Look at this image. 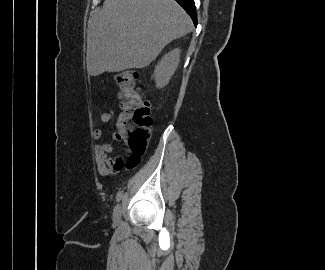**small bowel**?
I'll use <instances>...</instances> for the list:
<instances>
[{"instance_id":"1","label":"small bowel","mask_w":325,"mask_h":270,"mask_svg":"<svg viewBox=\"0 0 325 270\" xmlns=\"http://www.w3.org/2000/svg\"><path fill=\"white\" fill-rule=\"evenodd\" d=\"M115 113L113 111H108L102 114L101 121L104 123L110 122ZM93 139L97 142L95 145V162L98 173L101 176H106L110 173H116L123 169H132L127 165V160L121 156L110 157V154L114 151V144L117 142L114 138V141L111 143L102 142V131L99 128L94 129ZM134 168V167H133Z\"/></svg>"}]
</instances>
